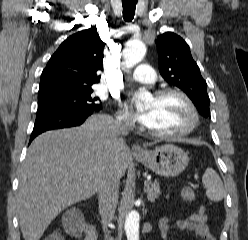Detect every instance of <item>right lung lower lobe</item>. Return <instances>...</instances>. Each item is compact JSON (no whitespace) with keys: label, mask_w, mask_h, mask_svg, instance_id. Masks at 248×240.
<instances>
[{"label":"right lung lower lobe","mask_w":248,"mask_h":240,"mask_svg":"<svg viewBox=\"0 0 248 240\" xmlns=\"http://www.w3.org/2000/svg\"><path fill=\"white\" fill-rule=\"evenodd\" d=\"M100 109L77 110V109L57 107V106L38 108L34 128L30 137V142L42 132L52 129L81 125L88 116L92 115L95 112H98Z\"/></svg>","instance_id":"obj_1"}]
</instances>
